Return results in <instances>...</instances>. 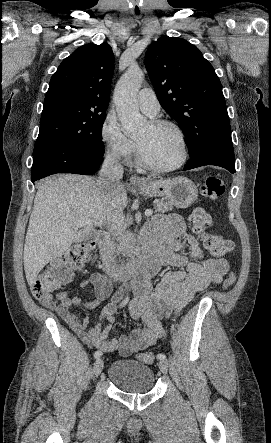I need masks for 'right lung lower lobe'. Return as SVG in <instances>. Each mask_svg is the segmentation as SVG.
Wrapping results in <instances>:
<instances>
[{
    "mask_svg": "<svg viewBox=\"0 0 271 443\" xmlns=\"http://www.w3.org/2000/svg\"><path fill=\"white\" fill-rule=\"evenodd\" d=\"M104 151L98 148L72 146H49L33 158L31 181L55 173L94 174L102 160Z\"/></svg>",
    "mask_w": 271,
    "mask_h": 443,
    "instance_id": "1",
    "label": "right lung lower lobe"
}]
</instances>
